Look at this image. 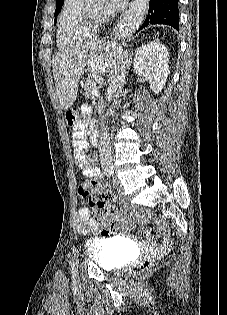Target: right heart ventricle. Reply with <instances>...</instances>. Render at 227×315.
I'll use <instances>...</instances> for the list:
<instances>
[{
    "instance_id": "1",
    "label": "right heart ventricle",
    "mask_w": 227,
    "mask_h": 315,
    "mask_svg": "<svg viewBox=\"0 0 227 315\" xmlns=\"http://www.w3.org/2000/svg\"><path fill=\"white\" fill-rule=\"evenodd\" d=\"M84 0H64L57 21V46L69 49L91 39L96 30L79 27V16Z\"/></svg>"
}]
</instances>
